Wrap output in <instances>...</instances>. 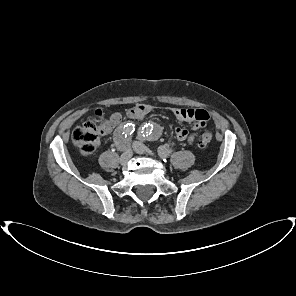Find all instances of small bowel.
Masks as SVG:
<instances>
[{
    "label": "small bowel",
    "instance_id": "obj_1",
    "mask_svg": "<svg viewBox=\"0 0 296 296\" xmlns=\"http://www.w3.org/2000/svg\"><path fill=\"white\" fill-rule=\"evenodd\" d=\"M152 107L149 104H138L133 109L127 112V116L131 119H142L150 111ZM173 114L181 121L192 122L193 131L190 132L186 128L177 127L175 128V135L179 141H186L192 144L195 140V132L206 126L209 120V114L207 111L202 109H189V108H174ZM122 115L119 112H114L105 121V133L111 132L116 126L120 124ZM174 148V143H165L160 147L161 155H168Z\"/></svg>",
    "mask_w": 296,
    "mask_h": 296
}]
</instances>
